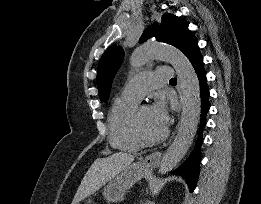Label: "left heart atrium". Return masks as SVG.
<instances>
[{"mask_svg": "<svg viewBox=\"0 0 261 204\" xmlns=\"http://www.w3.org/2000/svg\"><path fill=\"white\" fill-rule=\"evenodd\" d=\"M151 111L156 125L165 130L169 123V113L165 100L162 97H158L151 106Z\"/></svg>", "mask_w": 261, "mask_h": 204, "instance_id": "1", "label": "left heart atrium"}]
</instances>
